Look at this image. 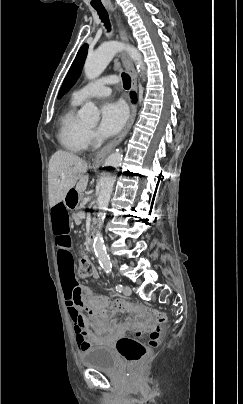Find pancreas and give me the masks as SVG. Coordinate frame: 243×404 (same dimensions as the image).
<instances>
[{
	"mask_svg": "<svg viewBox=\"0 0 243 404\" xmlns=\"http://www.w3.org/2000/svg\"><path fill=\"white\" fill-rule=\"evenodd\" d=\"M81 206H79L78 210H80ZM73 219L75 220V225L79 226L80 225V220H79V216L77 213L73 214Z\"/></svg>",
	"mask_w": 243,
	"mask_h": 404,
	"instance_id": "obj_1",
	"label": "pancreas"
}]
</instances>
